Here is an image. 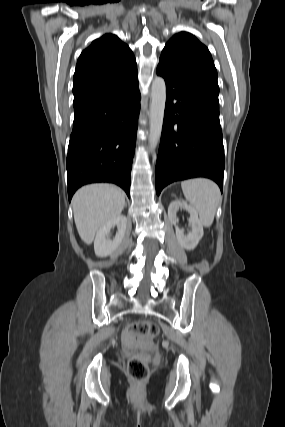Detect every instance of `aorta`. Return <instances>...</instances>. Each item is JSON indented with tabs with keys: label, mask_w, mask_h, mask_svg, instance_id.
Returning a JSON list of instances; mask_svg holds the SVG:
<instances>
[{
	"label": "aorta",
	"mask_w": 285,
	"mask_h": 427,
	"mask_svg": "<svg viewBox=\"0 0 285 427\" xmlns=\"http://www.w3.org/2000/svg\"><path fill=\"white\" fill-rule=\"evenodd\" d=\"M149 112V149L155 150L160 140L166 102V84L162 77L156 76L151 85Z\"/></svg>",
	"instance_id": "obj_1"
}]
</instances>
